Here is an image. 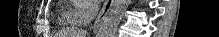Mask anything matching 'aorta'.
<instances>
[{
  "instance_id": "762f6f07",
  "label": "aorta",
  "mask_w": 219,
  "mask_h": 37,
  "mask_svg": "<svg viewBox=\"0 0 219 37\" xmlns=\"http://www.w3.org/2000/svg\"><path fill=\"white\" fill-rule=\"evenodd\" d=\"M131 0H116L107 17L102 22L96 37H115L120 22Z\"/></svg>"
}]
</instances>
